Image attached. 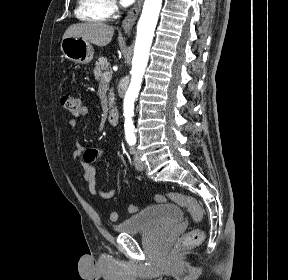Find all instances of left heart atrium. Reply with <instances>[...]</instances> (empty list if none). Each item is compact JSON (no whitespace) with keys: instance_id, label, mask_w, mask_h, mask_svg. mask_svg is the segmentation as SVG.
Returning <instances> with one entry per match:
<instances>
[{"instance_id":"left-heart-atrium-1","label":"left heart atrium","mask_w":288,"mask_h":280,"mask_svg":"<svg viewBox=\"0 0 288 280\" xmlns=\"http://www.w3.org/2000/svg\"><path fill=\"white\" fill-rule=\"evenodd\" d=\"M134 0H120L121 4L127 6L131 4Z\"/></svg>"}]
</instances>
